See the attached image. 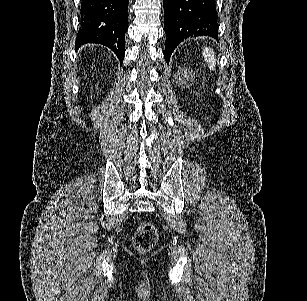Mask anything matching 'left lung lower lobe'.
<instances>
[{
  "label": "left lung lower lobe",
  "instance_id": "left-lung-lower-lobe-1",
  "mask_svg": "<svg viewBox=\"0 0 307 301\" xmlns=\"http://www.w3.org/2000/svg\"><path fill=\"white\" fill-rule=\"evenodd\" d=\"M165 59L188 37L211 36L218 40L215 0H163Z\"/></svg>",
  "mask_w": 307,
  "mask_h": 301
}]
</instances>
